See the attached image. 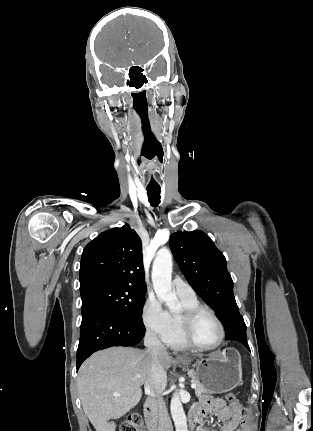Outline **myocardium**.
<instances>
[{"mask_svg":"<svg viewBox=\"0 0 313 431\" xmlns=\"http://www.w3.org/2000/svg\"><path fill=\"white\" fill-rule=\"evenodd\" d=\"M204 313L209 314L214 319L220 331L219 340L217 341V343L211 346H202L196 343L192 336V331L197 318ZM179 317H180L181 335L188 347L201 350V351H210V350H215L219 348L223 344L225 340L224 325L212 309L201 305L196 307H191V308H184L180 311Z\"/></svg>","mask_w":313,"mask_h":431,"instance_id":"1","label":"myocardium"}]
</instances>
